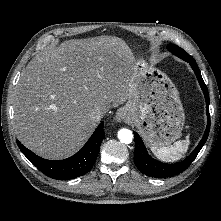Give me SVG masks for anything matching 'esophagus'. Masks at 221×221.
Returning <instances> with one entry per match:
<instances>
[{
    "instance_id": "1",
    "label": "esophagus",
    "mask_w": 221,
    "mask_h": 221,
    "mask_svg": "<svg viewBox=\"0 0 221 221\" xmlns=\"http://www.w3.org/2000/svg\"><path fill=\"white\" fill-rule=\"evenodd\" d=\"M117 121H124L126 120V112L123 109H119L116 112V116H115Z\"/></svg>"
}]
</instances>
